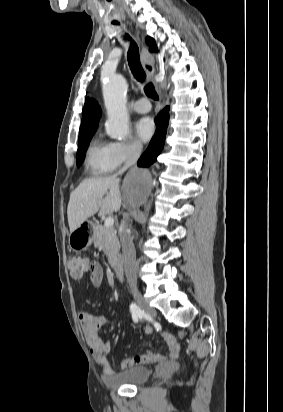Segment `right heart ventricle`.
Segmentation results:
<instances>
[{
    "instance_id": "obj_1",
    "label": "right heart ventricle",
    "mask_w": 283,
    "mask_h": 412,
    "mask_svg": "<svg viewBox=\"0 0 283 412\" xmlns=\"http://www.w3.org/2000/svg\"><path fill=\"white\" fill-rule=\"evenodd\" d=\"M86 165L95 175L112 172L117 166L110 158L109 143L95 139L87 150Z\"/></svg>"
}]
</instances>
